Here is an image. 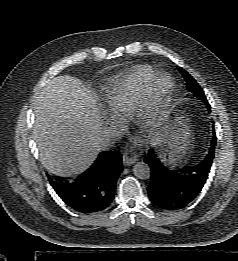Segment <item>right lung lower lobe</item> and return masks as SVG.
I'll list each match as a JSON object with an SVG mask.
<instances>
[{"mask_svg": "<svg viewBox=\"0 0 238 261\" xmlns=\"http://www.w3.org/2000/svg\"><path fill=\"white\" fill-rule=\"evenodd\" d=\"M121 172V154L118 151H104L92 166L77 178H49V181L68 206L88 214L109 207L114 199L116 182Z\"/></svg>", "mask_w": 238, "mask_h": 261, "instance_id": "1", "label": "right lung lower lobe"}]
</instances>
